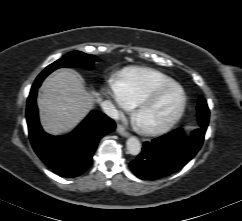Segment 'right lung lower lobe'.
Instances as JSON below:
<instances>
[{
	"instance_id": "98d812e1",
	"label": "right lung lower lobe",
	"mask_w": 242,
	"mask_h": 221,
	"mask_svg": "<svg viewBox=\"0 0 242 221\" xmlns=\"http://www.w3.org/2000/svg\"><path fill=\"white\" fill-rule=\"evenodd\" d=\"M35 81L27 100L26 119L32 147L39 158L55 173L66 178L83 174L92 164L98 141L114 131L115 122L103 113L92 111L70 134L54 137L45 133L39 123Z\"/></svg>"
}]
</instances>
